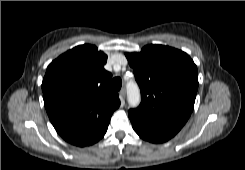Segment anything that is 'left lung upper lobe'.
Wrapping results in <instances>:
<instances>
[{"mask_svg": "<svg viewBox=\"0 0 245 170\" xmlns=\"http://www.w3.org/2000/svg\"><path fill=\"white\" fill-rule=\"evenodd\" d=\"M125 55L141 90V104L131 110L182 128L198 89L197 67L190 56L163 45H147Z\"/></svg>", "mask_w": 245, "mask_h": 170, "instance_id": "obj_1", "label": "left lung upper lobe"}]
</instances>
